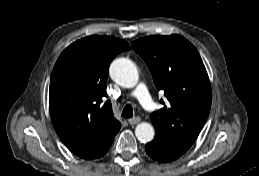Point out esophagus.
<instances>
[{"mask_svg":"<svg viewBox=\"0 0 259 176\" xmlns=\"http://www.w3.org/2000/svg\"><path fill=\"white\" fill-rule=\"evenodd\" d=\"M140 121H141V118H140V117H134V118H130V119L128 120V122H129L130 125H136V124H138Z\"/></svg>","mask_w":259,"mask_h":176,"instance_id":"1","label":"esophagus"}]
</instances>
